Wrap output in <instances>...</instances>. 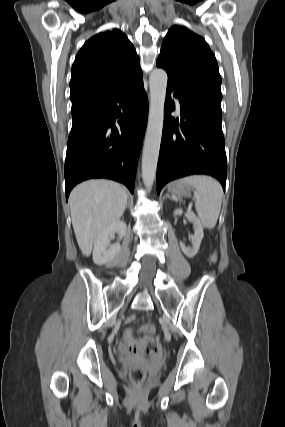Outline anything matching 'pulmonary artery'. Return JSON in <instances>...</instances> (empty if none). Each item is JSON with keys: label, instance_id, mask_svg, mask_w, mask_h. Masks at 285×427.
<instances>
[{"label": "pulmonary artery", "instance_id": "e3ab8cb5", "mask_svg": "<svg viewBox=\"0 0 285 427\" xmlns=\"http://www.w3.org/2000/svg\"><path fill=\"white\" fill-rule=\"evenodd\" d=\"M176 106H177L178 109L180 108V104H179V100L178 99H176Z\"/></svg>", "mask_w": 285, "mask_h": 427}]
</instances>
